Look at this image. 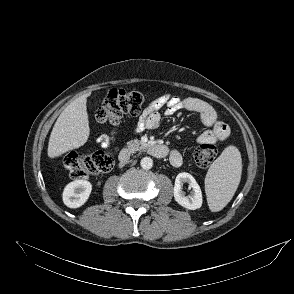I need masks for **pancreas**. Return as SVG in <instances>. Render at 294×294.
<instances>
[{"mask_svg": "<svg viewBox=\"0 0 294 294\" xmlns=\"http://www.w3.org/2000/svg\"><path fill=\"white\" fill-rule=\"evenodd\" d=\"M146 147H147V144L143 143L142 141L138 139L130 140L127 142V148L132 152L145 149Z\"/></svg>", "mask_w": 294, "mask_h": 294, "instance_id": "obj_1", "label": "pancreas"}]
</instances>
